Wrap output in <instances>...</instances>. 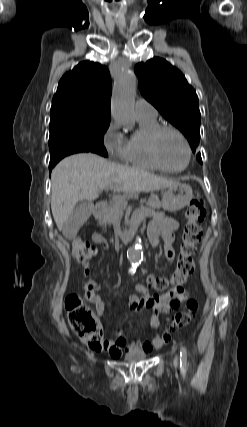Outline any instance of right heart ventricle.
Returning a JSON list of instances; mask_svg holds the SVG:
<instances>
[{"instance_id":"obj_1","label":"right heart ventricle","mask_w":247,"mask_h":427,"mask_svg":"<svg viewBox=\"0 0 247 427\" xmlns=\"http://www.w3.org/2000/svg\"><path fill=\"white\" fill-rule=\"evenodd\" d=\"M139 128L125 142L123 160L129 164L150 170H161L153 161L148 149V139L159 126L157 118H137Z\"/></svg>"}]
</instances>
